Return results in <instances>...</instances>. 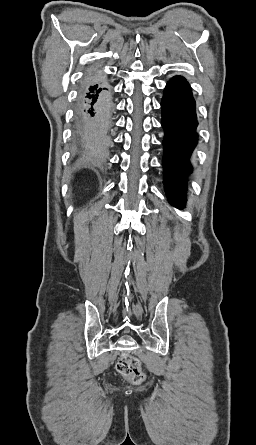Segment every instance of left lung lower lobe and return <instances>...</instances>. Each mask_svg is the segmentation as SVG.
I'll return each mask as SVG.
<instances>
[{
    "label": "left lung lower lobe",
    "mask_w": 256,
    "mask_h": 445,
    "mask_svg": "<svg viewBox=\"0 0 256 445\" xmlns=\"http://www.w3.org/2000/svg\"><path fill=\"white\" fill-rule=\"evenodd\" d=\"M164 136V185L169 202L185 205L186 176L192 171L190 155L197 144V117L191 87L182 76L166 85L161 103Z\"/></svg>",
    "instance_id": "0a47b994"
}]
</instances>
